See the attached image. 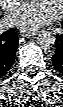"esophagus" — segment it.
<instances>
[{"label":"esophagus","instance_id":"esophagus-1","mask_svg":"<svg viewBox=\"0 0 63 107\" xmlns=\"http://www.w3.org/2000/svg\"><path fill=\"white\" fill-rule=\"evenodd\" d=\"M36 34H37L36 31H22L21 32V36H26L27 38H30Z\"/></svg>","mask_w":63,"mask_h":107}]
</instances>
